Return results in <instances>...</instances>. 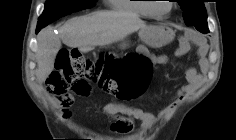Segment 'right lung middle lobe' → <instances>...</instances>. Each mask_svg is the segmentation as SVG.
I'll use <instances>...</instances> for the list:
<instances>
[{"label": "right lung middle lobe", "mask_w": 236, "mask_h": 140, "mask_svg": "<svg viewBox=\"0 0 236 140\" xmlns=\"http://www.w3.org/2000/svg\"><path fill=\"white\" fill-rule=\"evenodd\" d=\"M96 0H47L37 28H43L60 17L95 5Z\"/></svg>", "instance_id": "obj_1"}]
</instances>
